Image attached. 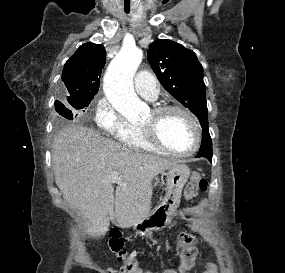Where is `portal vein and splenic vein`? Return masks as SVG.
Masks as SVG:
<instances>
[{
	"label": "portal vein and splenic vein",
	"mask_w": 285,
	"mask_h": 273,
	"mask_svg": "<svg viewBox=\"0 0 285 273\" xmlns=\"http://www.w3.org/2000/svg\"><path fill=\"white\" fill-rule=\"evenodd\" d=\"M110 181L113 183H118L120 181V178L118 176V172L114 171L110 177Z\"/></svg>",
	"instance_id": "obj_1"
}]
</instances>
